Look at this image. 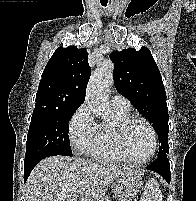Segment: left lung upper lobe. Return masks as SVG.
I'll return each mask as SVG.
<instances>
[{"instance_id":"5c2ea615","label":"left lung upper lobe","mask_w":196,"mask_h":201,"mask_svg":"<svg viewBox=\"0 0 196 201\" xmlns=\"http://www.w3.org/2000/svg\"><path fill=\"white\" fill-rule=\"evenodd\" d=\"M114 80L118 92L152 124L159 138L158 157L169 153L168 110L160 71L150 50L142 47L111 53Z\"/></svg>"}]
</instances>
